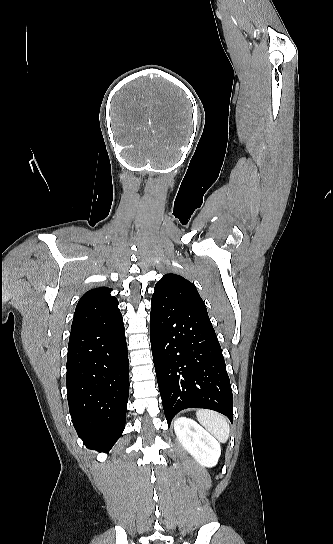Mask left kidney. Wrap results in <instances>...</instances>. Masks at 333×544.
Returning a JSON list of instances; mask_svg holds the SVG:
<instances>
[{
  "label": "left kidney",
  "mask_w": 333,
  "mask_h": 544,
  "mask_svg": "<svg viewBox=\"0 0 333 544\" xmlns=\"http://www.w3.org/2000/svg\"><path fill=\"white\" fill-rule=\"evenodd\" d=\"M175 434L193 458L202 466L213 467L221 455L218 441L195 421L181 417L174 423Z\"/></svg>",
  "instance_id": "obj_1"
}]
</instances>
